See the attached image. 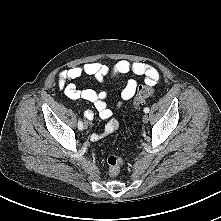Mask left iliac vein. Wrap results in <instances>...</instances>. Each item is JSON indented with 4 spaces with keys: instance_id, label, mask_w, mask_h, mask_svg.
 Here are the masks:
<instances>
[{
    "instance_id": "4c4485c4",
    "label": "left iliac vein",
    "mask_w": 221,
    "mask_h": 221,
    "mask_svg": "<svg viewBox=\"0 0 221 221\" xmlns=\"http://www.w3.org/2000/svg\"><path fill=\"white\" fill-rule=\"evenodd\" d=\"M142 121H143V123H147L149 121V117L147 114L143 115Z\"/></svg>"
}]
</instances>
